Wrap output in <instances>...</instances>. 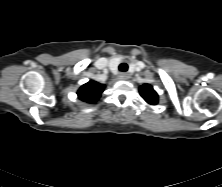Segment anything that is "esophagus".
I'll return each mask as SVG.
<instances>
[{
    "instance_id": "obj_1",
    "label": "esophagus",
    "mask_w": 222,
    "mask_h": 187,
    "mask_svg": "<svg viewBox=\"0 0 222 187\" xmlns=\"http://www.w3.org/2000/svg\"><path fill=\"white\" fill-rule=\"evenodd\" d=\"M118 78H119L120 80H126V79H128V75L125 74V73H120L119 76H118Z\"/></svg>"
}]
</instances>
